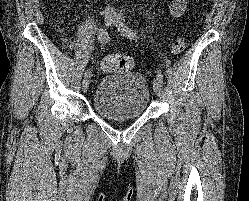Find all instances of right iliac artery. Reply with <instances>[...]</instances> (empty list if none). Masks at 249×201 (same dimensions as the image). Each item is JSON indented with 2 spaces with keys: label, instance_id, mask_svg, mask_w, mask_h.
I'll list each match as a JSON object with an SVG mask.
<instances>
[{
  "label": "right iliac artery",
  "instance_id": "82829eb1",
  "mask_svg": "<svg viewBox=\"0 0 249 201\" xmlns=\"http://www.w3.org/2000/svg\"><path fill=\"white\" fill-rule=\"evenodd\" d=\"M98 39L103 42V43H107L109 41V34L105 29H100L99 33H98ZM92 76V72L90 70H87L85 72L84 77H88L90 78Z\"/></svg>",
  "mask_w": 249,
  "mask_h": 201
}]
</instances>
